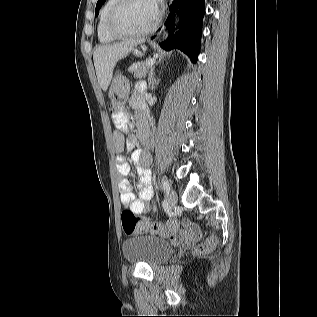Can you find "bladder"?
I'll list each match as a JSON object with an SVG mask.
<instances>
[{
	"mask_svg": "<svg viewBox=\"0 0 317 317\" xmlns=\"http://www.w3.org/2000/svg\"><path fill=\"white\" fill-rule=\"evenodd\" d=\"M122 250L128 261L142 262L148 265L162 263L174 253V248L170 242L147 234L126 239L123 242Z\"/></svg>",
	"mask_w": 317,
	"mask_h": 317,
	"instance_id": "obj_1",
	"label": "bladder"
}]
</instances>
